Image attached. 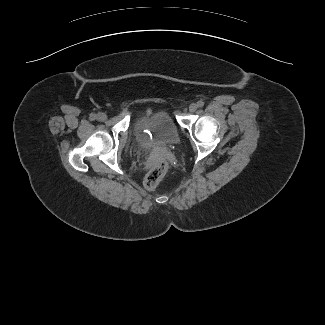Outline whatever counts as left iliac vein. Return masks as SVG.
<instances>
[{"label":"left iliac vein","instance_id":"1","mask_svg":"<svg viewBox=\"0 0 325 325\" xmlns=\"http://www.w3.org/2000/svg\"><path fill=\"white\" fill-rule=\"evenodd\" d=\"M197 108H198L197 104L192 103L189 106V111L193 113V112H195L197 110Z\"/></svg>","mask_w":325,"mask_h":325}]
</instances>
